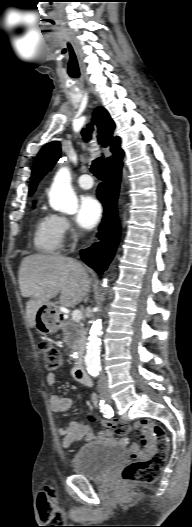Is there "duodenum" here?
I'll list each match as a JSON object with an SVG mask.
<instances>
[{"instance_id":"1","label":"duodenum","mask_w":192,"mask_h":527,"mask_svg":"<svg viewBox=\"0 0 192 527\" xmlns=\"http://www.w3.org/2000/svg\"><path fill=\"white\" fill-rule=\"evenodd\" d=\"M75 377L85 385H92V380L88 376L85 367L82 364H78L74 369Z\"/></svg>"}]
</instances>
